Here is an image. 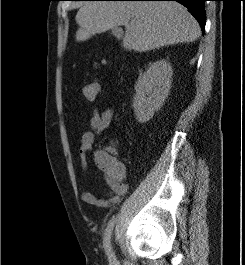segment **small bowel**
<instances>
[{
	"mask_svg": "<svg viewBox=\"0 0 245 265\" xmlns=\"http://www.w3.org/2000/svg\"><path fill=\"white\" fill-rule=\"evenodd\" d=\"M113 117L114 112L111 108H107L101 113L96 108L93 109V114L89 122V130L82 134L80 141L79 162L82 170L85 171L88 167L87 155L93 150L96 137L109 127L113 121ZM101 154H108L116 158L117 149L113 145H109L93 153L94 163L99 169V156ZM103 175L108 186L106 194L104 196H98L94 193L84 191L81 194V199L92 206L110 208L121 201L123 196L128 192V185L123 181V174L119 177H113L105 173Z\"/></svg>",
	"mask_w": 245,
	"mask_h": 265,
	"instance_id": "c3829d8e",
	"label": "small bowel"
}]
</instances>
